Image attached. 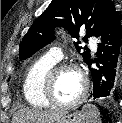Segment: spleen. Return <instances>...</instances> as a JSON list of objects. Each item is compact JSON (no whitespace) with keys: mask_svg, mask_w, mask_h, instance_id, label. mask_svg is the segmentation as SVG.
Returning a JSON list of instances; mask_svg holds the SVG:
<instances>
[{"mask_svg":"<svg viewBox=\"0 0 122 123\" xmlns=\"http://www.w3.org/2000/svg\"><path fill=\"white\" fill-rule=\"evenodd\" d=\"M82 111L86 115L88 123H101L100 112L95 105L86 104Z\"/></svg>","mask_w":122,"mask_h":123,"instance_id":"obj_1","label":"spleen"}]
</instances>
